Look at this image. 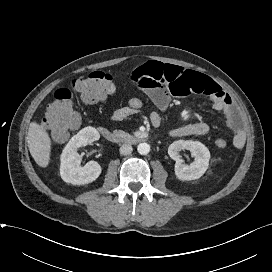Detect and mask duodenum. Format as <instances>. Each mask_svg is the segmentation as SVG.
Listing matches in <instances>:
<instances>
[{"label": "duodenum", "mask_w": 272, "mask_h": 272, "mask_svg": "<svg viewBox=\"0 0 272 272\" xmlns=\"http://www.w3.org/2000/svg\"><path fill=\"white\" fill-rule=\"evenodd\" d=\"M98 132L104 139L112 143L138 144L146 140L145 136H123L105 127H99Z\"/></svg>", "instance_id": "1"}]
</instances>
